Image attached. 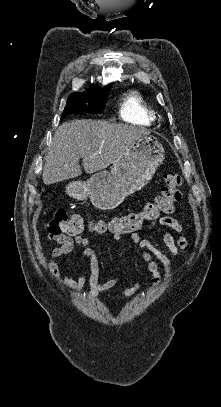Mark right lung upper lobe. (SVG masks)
<instances>
[{"mask_svg":"<svg viewBox=\"0 0 221 407\" xmlns=\"http://www.w3.org/2000/svg\"><path fill=\"white\" fill-rule=\"evenodd\" d=\"M110 87H111V85H108V87H106V88L102 89V88H100V87H98V86H96V85L92 84V85L90 86V88H89V89H87V92H96V91H102V90L108 89V88H110Z\"/></svg>","mask_w":221,"mask_h":407,"instance_id":"cb5924a9","label":"right lung upper lobe"}]
</instances>
